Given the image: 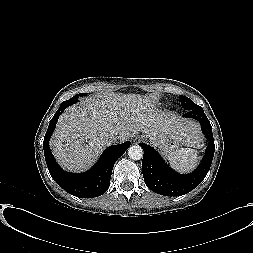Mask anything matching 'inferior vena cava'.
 Masks as SVG:
<instances>
[{
  "mask_svg": "<svg viewBox=\"0 0 253 253\" xmlns=\"http://www.w3.org/2000/svg\"><path fill=\"white\" fill-rule=\"evenodd\" d=\"M110 140H112L115 144H120L122 141H124V136L120 133H112L110 135Z\"/></svg>",
  "mask_w": 253,
  "mask_h": 253,
  "instance_id": "obj_1",
  "label": "inferior vena cava"
}]
</instances>
